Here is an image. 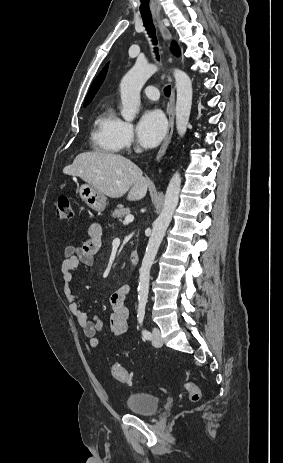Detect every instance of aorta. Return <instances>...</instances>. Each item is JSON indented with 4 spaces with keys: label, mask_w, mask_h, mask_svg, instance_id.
Instances as JSON below:
<instances>
[{
    "label": "aorta",
    "mask_w": 283,
    "mask_h": 463,
    "mask_svg": "<svg viewBox=\"0 0 283 463\" xmlns=\"http://www.w3.org/2000/svg\"><path fill=\"white\" fill-rule=\"evenodd\" d=\"M157 71L158 67L156 65L137 61L122 78L120 83L122 101L121 115L125 121L129 122L134 120L138 114L141 104L140 91L146 81ZM173 75L177 90L175 108L176 128L179 136L183 137L187 130L192 106V82L190 77L182 70L174 69ZM180 189L181 176L179 172H176L169 181L162 212L153 223L152 234L149 238L146 252L142 260L139 271V299L146 300L148 298L150 269L178 205Z\"/></svg>",
    "instance_id": "obj_1"
}]
</instances>
